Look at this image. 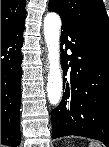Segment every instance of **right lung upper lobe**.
Wrapping results in <instances>:
<instances>
[{"mask_svg": "<svg viewBox=\"0 0 109 147\" xmlns=\"http://www.w3.org/2000/svg\"><path fill=\"white\" fill-rule=\"evenodd\" d=\"M25 17V0H1V35L23 24Z\"/></svg>", "mask_w": 109, "mask_h": 147, "instance_id": "cb5924a9", "label": "right lung upper lobe"}]
</instances>
